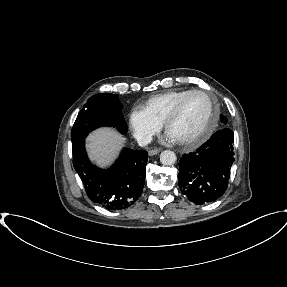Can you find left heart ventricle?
Wrapping results in <instances>:
<instances>
[{
    "label": "left heart ventricle",
    "instance_id": "left-heart-ventricle-1",
    "mask_svg": "<svg viewBox=\"0 0 287 287\" xmlns=\"http://www.w3.org/2000/svg\"><path fill=\"white\" fill-rule=\"evenodd\" d=\"M210 115V102L204 95H193L183 105L177 118L172 121L166 133L180 142L200 134L206 127Z\"/></svg>",
    "mask_w": 287,
    "mask_h": 287
}]
</instances>
